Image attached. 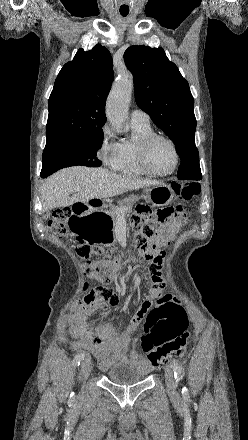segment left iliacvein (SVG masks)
Listing matches in <instances>:
<instances>
[{
	"label": "left iliac vein",
	"mask_w": 248,
	"mask_h": 440,
	"mask_svg": "<svg viewBox=\"0 0 248 440\" xmlns=\"http://www.w3.org/2000/svg\"><path fill=\"white\" fill-rule=\"evenodd\" d=\"M165 381L167 390L170 394H176V383L174 381V375L170 366H166L165 368Z\"/></svg>",
	"instance_id": "left-iliac-vein-1"
}]
</instances>
